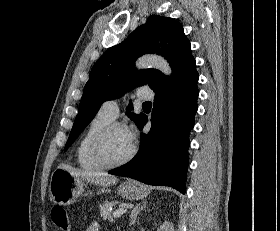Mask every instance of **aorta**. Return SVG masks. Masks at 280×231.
I'll return each mask as SVG.
<instances>
[{
    "instance_id": "aorta-1",
    "label": "aorta",
    "mask_w": 280,
    "mask_h": 231,
    "mask_svg": "<svg viewBox=\"0 0 280 231\" xmlns=\"http://www.w3.org/2000/svg\"><path fill=\"white\" fill-rule=\"evenodd\" d=\"M137 68H157L160 72H163L165 76H170L172 74V70L164 58L161 56H142L136 62Z\"/></svg>"
}]
</instances>
